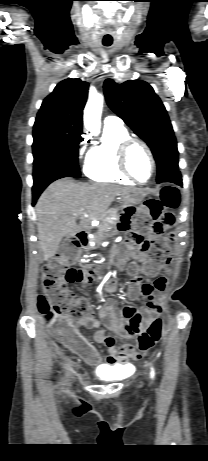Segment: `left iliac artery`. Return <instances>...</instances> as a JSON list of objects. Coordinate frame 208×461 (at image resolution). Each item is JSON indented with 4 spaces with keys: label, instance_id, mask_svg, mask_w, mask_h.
<instances>
[{
    "label": "left iliac artery",
    "instance_id": "obj_1",
    "mask_svg": "<svg viewBox=\"0 0 208 461\" xmlns=\"http://www.w3.org/2000/svg\"><path fill=\"white\" fill-rule=\"evenodd\" d=\"M154 374H155V373H154V370H153V368H152L151 376L154 377Z\"/></svg>",
    "mask_w": 208,
    "mask_h": 461
}]
</instances>
